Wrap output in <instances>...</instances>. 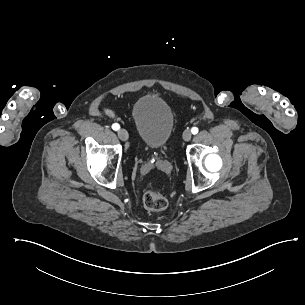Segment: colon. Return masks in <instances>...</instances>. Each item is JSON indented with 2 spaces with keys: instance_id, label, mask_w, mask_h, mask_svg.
I'll list each match as a JSON object with an SVG mask.
<instances>
[{
  "instance_id": "obj_1",
  "label": "colon",
  "mask_w": 305,
  "mask_h": 305,
  "mask_svg": "<svg viewBox=\"0 0 305 305\" xmlns=\"http://www.w3.org/2000/svg\"><path fill=\"white\" fill-rule=\"evenodd\" d=\"M144 206L151 211H162L168 202L164 194L157 191L148 190L143 195Z\"/></svg>"
}]
</instances>
